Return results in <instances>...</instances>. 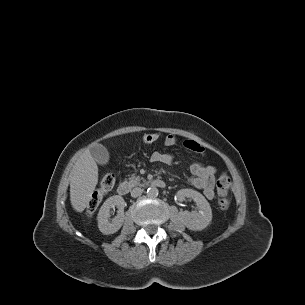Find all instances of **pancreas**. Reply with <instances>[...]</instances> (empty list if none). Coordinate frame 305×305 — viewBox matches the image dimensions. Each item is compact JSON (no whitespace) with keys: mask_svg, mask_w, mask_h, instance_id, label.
Returning <instances> with one entry per match:
<instances>
[{"mask_svg":"<svg viewBox=\"0 0 305 305\" xmlns=\"http://www.w3.org/2000/svg\"><path fill=\"white\" fill-rule=\"evenodd\" d=\"M141 180H142V178H140L139 176H134V175H132V176L129 178V182H130L133 186L140 185Z\"/></svg>","mask_w":305,"mask_h":305,"instance_id":"obj_1","label":"pancreas"}]
</instances>
